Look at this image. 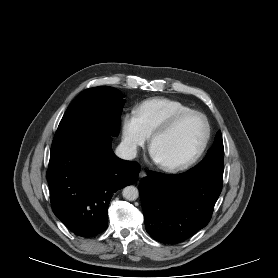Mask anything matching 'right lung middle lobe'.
<instances>
[{"instance_id": "obj_1", "label": "right lung middle lobe", "mask_w": 278, "mask_h": 278, "mask_svg": "<svg viewBox=\"0 0 278 278\" xmlns=\"http://www.w3.org/2000/svg\"><path fill=\"white\" fill-rule=\"evenodd\" d=\"M108 86L81 92L69 105L55 133L52 147L95 135H118L125 100Z\"/></svg>"}]
</instances>
